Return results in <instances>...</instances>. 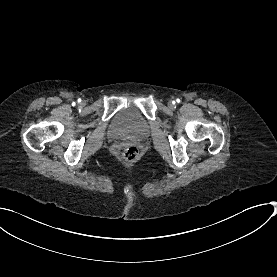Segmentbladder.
<instances>
[{"label":"bladder","instance_id":"1","mask_svg":"<svg viewBox=\"0 0 277 277\" xmlns=\"http://www.w3.org/2000/svg\"><path fill=\"white\" fill-rule=\"evenodd\" d=\"M117 141L144 139L151 124L137 103H127L117 109L109 121Z\"/></svg>","mask_w":277,"mask_h":277}]
</instances>
